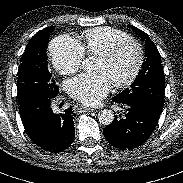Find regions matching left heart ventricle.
<instances>
[{"instance_id": "left-heart-ventricle-1", "label": "left heart ventricle", "mask_w": 183, "mask_h": 183, "mask_svg": "<svg viewBox=\"0 0 183 183\" xmlns=\"http://www.w3.org/2000/svg\"><path fill=\"white\" fill-rule=\"evenodd\" d=\"M137 60V47L133 44H128L111 59L105 60L97 57L94 70L104 72L113 84L127 78L132 73Z\"/></svg>"}]
</instances>
